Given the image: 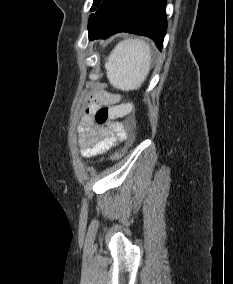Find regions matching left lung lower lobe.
<instances>
[{
	"label": "left lung lower lobe",
	"mask_w": 233,
	"mask_h": 284,
	"mask_svg": "<svg viewBox=\"0 0 233 284\" xmlns=\"http://www.w3.org/2000/svg\"><path fill=\"white\" fill-rule=\"evenodd\" d=\"M166 28V0H103L94 14L89 40L129 32L153 39L162 49Z\"/></svg>",
	"instance_id": "1"
}]
</instances>
